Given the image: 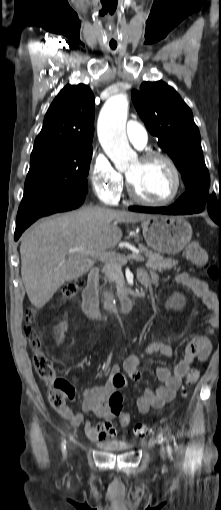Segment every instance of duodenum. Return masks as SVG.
I'll return each mask as SVG.
<instances>
[{"mask_svg":"<svg viewBox=\"0 0 221 510\" xmlns=\"http://www.w3.org/2000/svg\"><path fill=\"white\" fill-rule=\"evenodd\" d=\"M140 280H146L144 273L139 271ZM99 270L97 268L91 269L88 275L87 285L83 292V310L85 314L96 321H101L103 318L98 311L99 304ZM116 308L119 311H130L134 305V297L130 294H124L114 299Z\"/></svg>","mask_w":221,"mask_h":510,"instance_id":"duodenum-1","label":"duodenum"}]
</instances>
